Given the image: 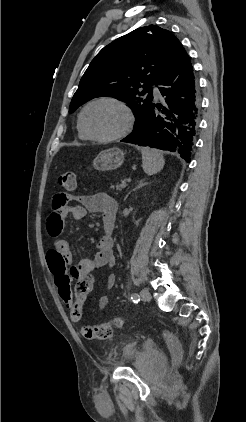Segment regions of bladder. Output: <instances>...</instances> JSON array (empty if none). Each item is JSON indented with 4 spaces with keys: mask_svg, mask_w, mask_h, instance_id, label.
<instances>
[{
    "mask_svg": "<svg viewBox=\"0 0 246 422\" xmlns=\"http://www.w3.org/2000/svg\"><path fill=\"white\" fill-rule=\"evenodd\" d=\"M140 356V351L133 343L125 344L120 349L119 359L122 364L135 363ZM148 359L151 365L156 369H161L165 366L166 358L159 350H152L148 354Z\"/></svg>",
    "mask_w": 246,
    "mask_h": 422,
    "instance_id": "1",
    "label": "bladder"
}]
</instances>
